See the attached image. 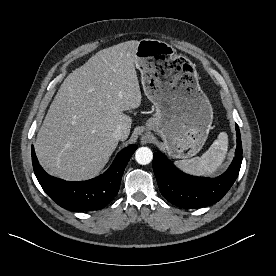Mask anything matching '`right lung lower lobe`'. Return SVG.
Here are the masks:
<instances>
[{"label":"right lung lower lobe","instance_id":"1","mask_svg":"<svg viewBox=\"0 0 276 276\" xmlns=\"http://www.w3.org/2000/svg\"><path fill=\"white\" fill-rule=\"evenodd\" d=\"M136 149V145L125 148L104 174L82 182L64 181L48 175L40 166L33 146L32 164L43 190L59 206L71 211L99 210L118 193L124 169Z\"/></svg>","mask_w":276,"mask_h":276}]
</instances>
